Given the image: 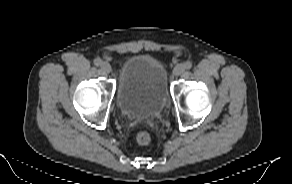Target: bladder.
Returning <instances> with one entry per match:
<instances>
[{"label": "bladder", "instance_id": "obj_1", "mask_svg": "<svg viewBox=\"0 0 292 184\" xmlns=\"http://www.w3.org/2000/svg\"><path fill=\"white\" fill-rule=\"evenodd\" d=\"M168 101V75L159 60L148 55H132L123 62L117 86V104L123 115L156 118Z\"/></svg>", "mask_w": 292, "mask_h": 184}]
</instances>
